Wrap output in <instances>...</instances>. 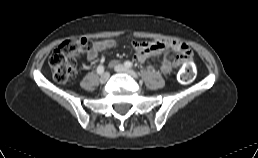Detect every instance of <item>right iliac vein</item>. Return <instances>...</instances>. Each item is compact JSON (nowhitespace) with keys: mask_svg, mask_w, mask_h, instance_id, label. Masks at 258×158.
<instances>
[{"mask_svg":"<svg viewBox=\"0 0 258 158\" xmlns=\"http://www.w3.org/2000/svg\"><path fill=\"white\" fill-rule=\"evenodd\" d=\"M110 77L109 72H105L104 74H102V76L100 77V82L101 83H106L108 81Z\"/></svg>","mask_w":258,"mask_h":158,"instance_id":"right-iliac-vein-1","label":"right iliac vein"}]
</instances>
